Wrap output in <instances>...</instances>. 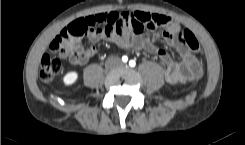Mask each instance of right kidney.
I'll return each mask as SVG.
<instances>
[{
  "mask_svg": "<svg viewBox=\"0 0 245 145\" xmlns=\"http://www.w3.org/2000/svg\"><path fill=\"white\" fill-rule=\"evenodd\" d=\"M78 78V73L76 71H70L63 77V82L65 85H72L76 82Z\"/></svg>",
  "mask_w": 245,
  "mask_h": 145,
  "instance_id": "1",
  "label": "right kidney"
}]
</instances>
